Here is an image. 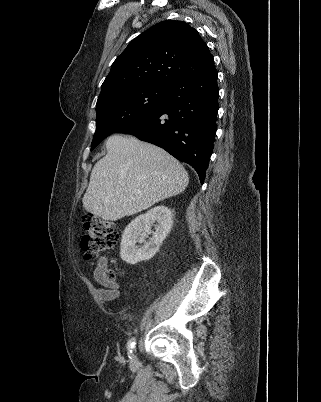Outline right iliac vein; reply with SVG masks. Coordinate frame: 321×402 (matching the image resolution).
I'll use <instances>...</instances> for the list:
<instances>
[{"label":"right iliac vein","mask_w":321,"mask_h":402,"mask_svg":"<svg viewBox=\"0 0 321 402\" xmlns=\"http://www.w3.org/2000/svg\"><path fill=\"white\" fill-rule=\"evenodd\" d=\"M132 361H135V356L134 355L132 356Z\"/></svg>","instance_id":"right-iliac-vein-1"}]
</instances>
